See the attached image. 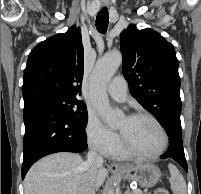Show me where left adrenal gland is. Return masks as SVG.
<instances>
[{"label":"left adrenal gland","mask_w":201,"mask_h":194,"mask_svg":"<svg viewBox=\"0 0 201 194\" xmlns=\"http://www.w3.org/2000/svg\"><path fill=\"white\" fill-rule=\"evenodd\" d=\"M124 194H132V193H130V189L128 188Z\"/></svg>","instance_id":"1"}]
</instances>
